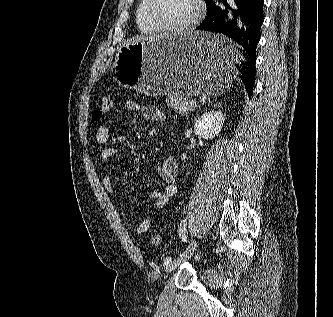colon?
Wrapping results in <instances>:
<instances>
[{
	"mask_svg": "<svg viewBox=\"0 0 333 317\" xmlns=\"http://www.w3.org/2000/svg\"><path fill=\"white\" fill-rule=\"evenodd\" d=\"M112 106L111 99L108 96H101L97 99L95 107L92 112V118L95 121H99L110 111ZM161 242V237L157 234L151 238V243L158 246Z\"/></svg>",
	"mask_w": 333,
	"mask_h": 317,
	"instance_id": "obj_1",
	"label": "colon"
}]
</instances>
